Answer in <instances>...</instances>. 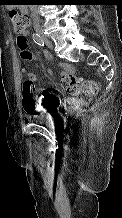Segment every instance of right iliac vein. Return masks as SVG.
<instances>
[{
  "mask_svg": "<svg viewBox=\"0 0 122 218\" xmlns=\"http://www.w3.org/2000/svg\"><path fill=\"white\" fill-rule=\"evenodd\" d=\"M41 38L44 41V43L47 45L48 48L53 49V44L47 37L41 36Z\"/></svg>",
  "mask_w": 122,
  "mask_h": 218,
  "instance_id": "63e3f726",
  "label": "right iliac vein"
}]
</instances>
